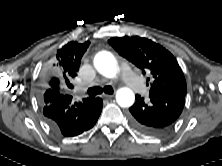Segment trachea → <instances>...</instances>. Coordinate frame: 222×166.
Instances as JSON below:
<instances>
[{
	"mask_svg": "<svg viewBox=\"0 0 222 166\" xmlns=\"http://www.w3.org/2000/svg\"><path fill=\"white\" fill-rule=\"evenodd\" d=\"M102 92H105L107 94H113V88L111 86H105L104 88L100 87H92L89 88L86 92L89 96H96L98 94H101Z\"/></svg>",
	"mask_w": 222,
	"mask_h": 166,
	"instance_id": "trachea-1",
	"label": "trachea"
}]
</instances>
